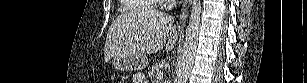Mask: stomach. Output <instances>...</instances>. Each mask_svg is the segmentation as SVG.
<instances>
[{
	"instance_id": "1",
	"label": "stomach",
	"mask_w": 307,
	"mask_h": 83,
	"mask_svg": "<svg viewBox=\"0 0 307 83\" xmlns=\"http://www.w3.org/2000/svg\"><path fill=\"white\" fill-rule=\"evenodd\" d=\"M112 65L120 71H138L147 65L145 56L117 55L112 59Z\"/></svg>"
}]
</instances>
